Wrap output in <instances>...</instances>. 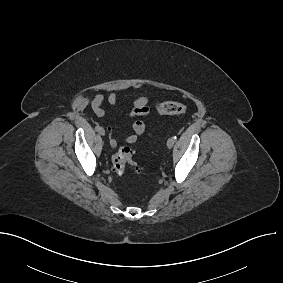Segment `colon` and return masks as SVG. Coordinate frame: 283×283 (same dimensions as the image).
<instances>
[{
	"label": "colon",
	"mask_w": 283,
	"mask_h": 283,
	"mask_svg": "<svg viewBox=\"0 0 283 283\" xmlns=\"http://www.w3.org/2000/svg\"><path fill=\"white\" fill-rule=\"evenodd\" d=\"M156 110L161 115H182L187 111V106L180 102L165 101L156 106ZM112 170L122 176L125 173L127 165H134L133 150L128 146L121 147L111 159ZM138 170V167H135Z\"/></svg>",
	"instance_id": "colon-1"
}]
</instances>
